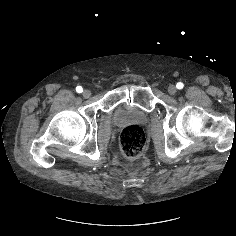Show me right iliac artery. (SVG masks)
<instances>
[{
    "instance_id": "1",
    "label": "right iliac artery",
    "mask_w": 236,
    "mask_h": 236,
    "mask_svg": "<svg viewBox=\"0 0 236 236\" xmlns=\"http://www.w3.org/2000/svg\"><path fill=\"white\" fill-rule=\"evenodd\" d=\"M76 91H77L78 93H82V92H83V88H82L81 86H77V87H76Z\"/></svg>"
}]
</instances>
